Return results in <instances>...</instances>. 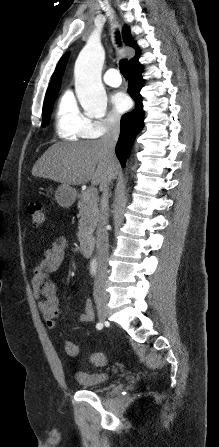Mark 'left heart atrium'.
I'll return each mask as SVG.
<instances>
[{
	"label": "left heart atrium",
	"instance_id": "39dd6f15",
	"mask_svg": "<svg viewBox=\"0 0 219 447\" xmlns=\"http://www.w3.org/2000/svg\"><path fill=\"white\" fill-rule=\"evenodd\" d=\"M112 104L118 112H125L130 108V98L124 92H117L112 96Z\"/></svg>",
	"mask_w": 219,
	"mask_h": 447
}]
</instances>
